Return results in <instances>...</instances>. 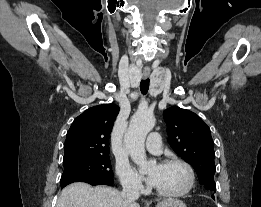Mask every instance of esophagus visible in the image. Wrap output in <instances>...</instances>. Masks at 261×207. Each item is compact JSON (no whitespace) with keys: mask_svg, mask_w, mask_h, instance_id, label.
<instances>
[{"mask_svg":"<svg viewBox=\"0 0 261 207\" xmlns=\"http://www.w3.org/2000/svg\"><path fill=\"white\" fill-rule=\"evenodd\" d=\"M144 77H145V78L148 77V74H145Z\"/></svg>","mask_w":261,"mask_h":207,"instance_id":"34e87169","label":"esophagus"}]
</instances>
